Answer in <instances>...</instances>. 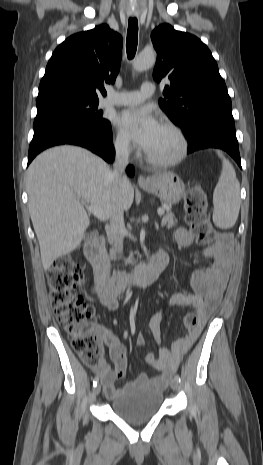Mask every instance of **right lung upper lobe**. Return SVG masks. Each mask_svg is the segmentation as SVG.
Instances as JSON below:
<instances>
[{
  "label": "right lung upper lobe",
  "mask_w": 263,
  "mask_h": 465,
  "mask_svg": "<svg viewBox=\"0 0 263 465\" xmlns=\"http://www.w3.org/2000/svg\"><path fill=\"white\" fill-rule=\"evenodd\" d=\"M122 37L108 25L67 38L53 52L37 101L57 96L98 99L103 83H114L122 58Z\"/></svg>",
  "instance_id": "right-lung-upper-lobe-1"
}]
</instances>
